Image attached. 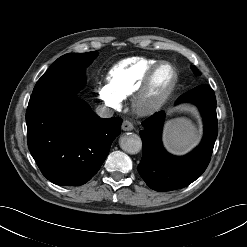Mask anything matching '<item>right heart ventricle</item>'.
Here are the masks:
<instances>
[{
    "label": "right heart ventricle",
    "instance_id": "right-heart-ventricle-1",
    "mask_svg": "<svg viewBox=\"0 0 247 247\" xmlns=\"http://www.w3.org/2000/svg\"><path fill=\"white\" fill-rule=\"evenodd\" d=\"M158 60L146 57H130L120 61L111 70L109 83L122 99L130 97L146 72L158 63Z\"/></svg>",
    "mask_w": 247,
    "mask_h": 247
}]
</instances>
